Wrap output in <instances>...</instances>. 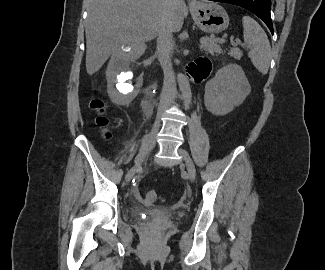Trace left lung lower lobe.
<instances>
[{"label": "left lung lower lobe", "mask_w": 325, "mask_h": 270, "mask_svg": "<svg viewBox=\"0 0 325 270\" xmlns=\"http://www.w3.org/2000/svg\"><path fill=\"white\" fill-rule=\"evenodd\" d=\"M211 1H217V2H223V3H230L234 5L241 6L252 13H254L256 16H258L260 19H262L265 24L270 29L271 33L273 34V25L271 20V0H211Z\"/></svg>", "instance_id": "obj_1"}]
</instances>
